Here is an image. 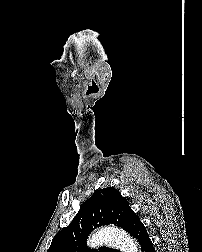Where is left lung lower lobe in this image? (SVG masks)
I'll return each instance as SVG.
<instances>
[{"instance_id":"1","label":"left lung lower lobe","mask_w":202,"mask_h":252,"mask_svg":"<svg viewBox=\"0 0 202 252\" xmlns=\"http://www.w3.org/2000/svg\"><path fill=\"white\" fill-rule=\"evenodd\" d=\"M132 236L136 238L142 252H155L154 246L149 238L146 228L141 221L137 222L135 225Z\"/></svg>"}]
</instances>
